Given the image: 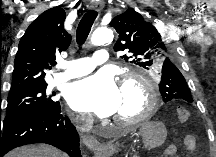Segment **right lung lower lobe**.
<instances>
[{
    "label": "right lung lower lobe",
    "instance_id": "1",
    "mask_svg": "<svg viewBox=\"0 0 216 157\" xmlns=\"http://www.w3.org/2000/svg\"><path fill=\"white\" fill-rule=\"evenodd\" d=\"M32 143H46L65 151L69 157H81L78 133L60 105L53 111L37 113L0 126V157L10 150Z\"/></svg>",
    "mask_w": 216,
    "mask_h": 157
}]
</instances>
